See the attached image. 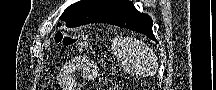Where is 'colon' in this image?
<instances>
[{
    "mask_svg": "<svg viewBox=\"0 0 216 90\" xmlns=\"http://www.w3.org/2000/svg\"><path fill=\"white\" fill-rule=\"evenodd\" d=\"M56 41L57 43L68 47L73 45H80L82 39L79 36L58 33L56 36Z\"/></svg>",
    "mask_w": 216,
    "mask_h": 90,
    "instance_id": "1",
    "label": "colon"
}]
</instances>
